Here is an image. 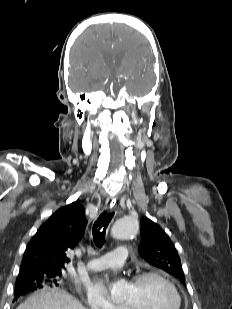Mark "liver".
Returning <instances> with one entry per match:
<instances>
[{"label": "liver", "instance_id": "liver-1", "mask_svg": "<svg viewBox=\"0 0 232 309\" xmlns=\"http://www.w3.org/2000/svg\"><path fill=\"white\" fill-rule=\"evenodd\" d=\"M17 309H86L75 297L58 288H43L28 297Z\"/></svg>", "mask_w": 232, "mask_h": 309}]
</instances>
